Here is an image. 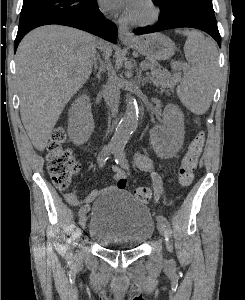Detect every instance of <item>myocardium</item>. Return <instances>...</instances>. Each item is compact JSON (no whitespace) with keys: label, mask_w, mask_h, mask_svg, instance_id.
Wrapping results in <instances>:
<instances>
[{"label":"myocardium","mask_w":245,"mask_h":300,"mask_svg":"<svg viewBox=\"0 0 245 300\" xmlns=\"http://www.w3.org/2000/svg\"><path fill=\"white\" fill-rule=\"evenodd\" d=\"M143 2L146 4V6L149 8L150 14L148 17L143 19H134V18H128L127 20L132 25L136 26H148L153 23H155L160 15V10L155 4L153 0H143Z\"/></svg>","instance_id":"1"}]
</instances>
